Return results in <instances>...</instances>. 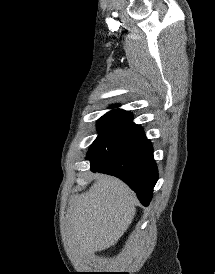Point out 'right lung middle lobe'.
Returning a JSON list of instances; mask_svg holds the SVG:
<instances>
[{"label": "right lung middle lobe", "mask_w": 215, "mask_h": 274, "mask_svg": "<svg viewBox=\"0 0 215 274\" xmlns=\"http://www.w3.org/2000/svg\"><path fill=\"white\" fill-rule=\"evenodd\" d=\"M132 120L133 115L129 111L120 109L102 116L97 123L99 135L87 158L109 165L125 154L143 136V129Z\"/></svg>", "instance_id": "right-lung-middle-lobe-1"}]
</instances>
